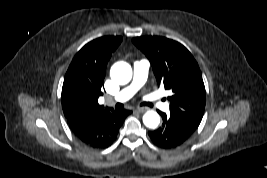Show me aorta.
I'll return each mask as SVG.
<instances>
[{"mask_svg":"<svg viewBox=\"0 0 267 178\" xmlns=\"http://www.w3.org/2000/svg\"><path fill=\"white\" fill-rule=\"evenodd\" d=\"M110 76L111 79L118 84H127L132 78V68L128 63L124 61L116 62L111 67ZM143 123L146 127L155 129L160 123V116L155 111H147L143 115Z\"/></svg>","mask_w":267,"mask_h":178,"instance_id":"1","label":"aorta"}]
</instances>
